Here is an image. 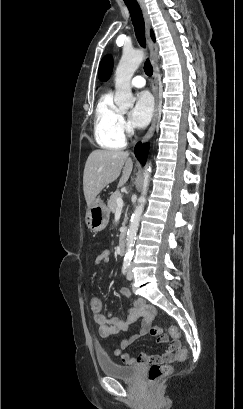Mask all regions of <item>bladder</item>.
Returning <instances> with one entry per match:
<instances>
[{
	"label": "bladder",
	"mask_w": 243,
	"mask_h": 409,
	"mask_svg": "<svg viewBox=\"0 0 243 409\" xmlns=\"http://www.w3.org/2000/svg\"><path fill=\"white\" fill-rule=\"evenodd\" d=\"M98 365L100 370L107 376L122 380L133 381L141 372V367L137 365H122L112 359L98 358Z\"/></svg>",
	"instance_id": "31cf9c89"
}]
</instances>
